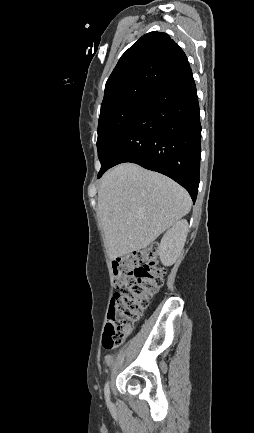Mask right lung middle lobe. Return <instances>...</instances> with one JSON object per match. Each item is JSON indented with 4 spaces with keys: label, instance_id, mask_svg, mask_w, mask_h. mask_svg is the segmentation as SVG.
Instances as JSON below:
<instances>
[{
    "label": "right lung middle lobe",
    "instance_id": "right-lung-middle-lobe-1",
    "mask_svg": "<svg viewBox=\"0 0 254 433\" xmlns=\"http://www.w3.org/2000/svg\"><path fill=\"white\" fill-rule=\"evenodd\" d=\"M149 99H126L101 108L98 122L97 149L101 170L124 130Z\"/></svg>",
    "mask_w": 254,
    "mask_h": 433
}]
</instances>
